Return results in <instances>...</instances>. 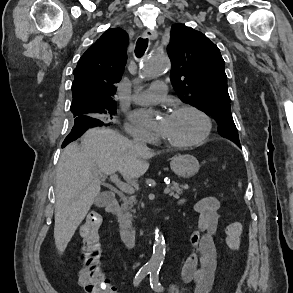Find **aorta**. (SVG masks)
<instances>
[{"label":"aorta","instance_id":"obj_1","mask_svg":"<svg viewBox=\"0 0 293 293\" xmlns=\"http://www.w3.org/2000/svg\"><path fill=\"white\" fill-rule=\"evenodd\" d=\"M169 67V59L163 52L152 51L145 59L140 70V76L143 79H153L162 75ZM165 257L164 237L156 230L155 242L153 245L152 256L147 263V268L152 271H158Z\"/></svg>","mask_w":293,"mask_h":293}]
</instances>
